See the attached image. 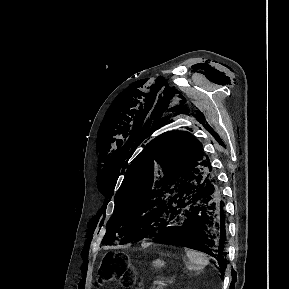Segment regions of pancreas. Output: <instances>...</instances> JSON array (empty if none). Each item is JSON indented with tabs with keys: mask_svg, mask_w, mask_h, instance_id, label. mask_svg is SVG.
Returning a JSON list of instances; mask_svg holds the SVG:
<instances>
[{
	"mask_svg": "<svg viewBox=\"0 0 289 289\" xmlns=\"http://www.w3.org/2000/svg\"><path fill=\"white\" fill-rule=\"evenodd\" d=\"M151 289H162V288H159V287L157 286V287H152Z\"/></svg>",
	"mask_w": 289,
	"mask_h": 289,
	"instance_id": "pancreas-1",
	"label": "pancreas"
}]
</instances>
